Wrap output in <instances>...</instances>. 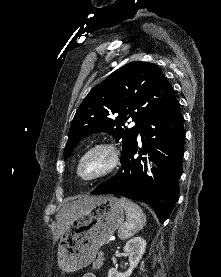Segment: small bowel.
Returning <instances> with one entry per match:
<instances>
[{
	"label": "small bowel",
	"mask_w": 221,
	"mask_h": 277,
	"mask_svg": "<svg viewBox=\"0 0 221 277\" xmlns=\"http://www.w3.org/2000/svg\"><path fill=\"white\" fill-rule=\"evenodd\" d=\"M83 277H96V276L92 273H87Z\"/></svg>",
	"instance_id": "obj_1"
}]
</instances>
